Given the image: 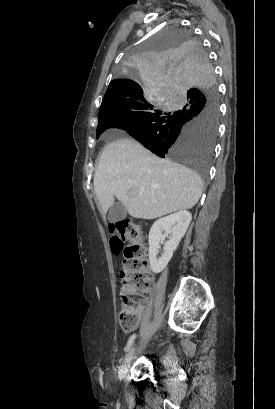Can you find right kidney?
<instances>
[{"label":"right kidney","mask_w":275,"mask_h":409,"mask_svg":"<svg viewBox=\"0 0 275 409\" xmlns=\"http://www.w3.org/2000/svg\"><path fill=\"white\" fill-rule=\"evenodd\" d=\"M191 219L192 215L189 211H178L174 215L158 219L152 225L149 233L148 257L153 273H161L167 267L173 257V251L177 249L182 237H184ZM163 231H165V235H162ZM165 237H168L169 241L164 245L163 255L157 259L160 243H163Z\"/></svg>","instance_id":"ca27d5eb"}]
</instances>
